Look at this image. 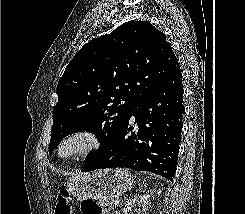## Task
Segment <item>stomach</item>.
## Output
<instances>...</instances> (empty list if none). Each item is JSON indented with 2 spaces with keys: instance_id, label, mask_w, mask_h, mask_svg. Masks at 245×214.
Listing matches in <instances>:
<instances>
[{
  "instance_id": "obj_1",
  "label": "stomach",
  "mask_w": 245,
  "mask_h": 214,
  "mask_svg": "<svg viewBox=\"0 0 245 214\" xmlns=\"http://www.w3.org/2000/svg\"><path fill=\"white\" fill-rule=\"evenodd\" d=\"M132 184L133 178L129 171L116 168L76 174L68 180L67 188L78 200L111 201L130 189Z\"/></svg>"
}]
</instances>
